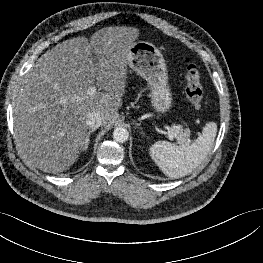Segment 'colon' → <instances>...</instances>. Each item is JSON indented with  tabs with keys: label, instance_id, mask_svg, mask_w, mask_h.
Instances as JSON below:
<instances>
[{
	"label": "colon",
	"instance_id": "obj_1",
	"mask_svg": "<svg viewBox=\"0 0 263 263\" xmlns=\"http://www.w3.org/2000/svg\"><path fill=\"white\" fill-rule=\"evenodd\" d=\"M185 65L186 98L195 109H200L203 102L204 92L200 82L199 69L190 58H186Z\"/></svg>",
	"mask_w": 263,
	"mask_h": 263
}]
</instances>
